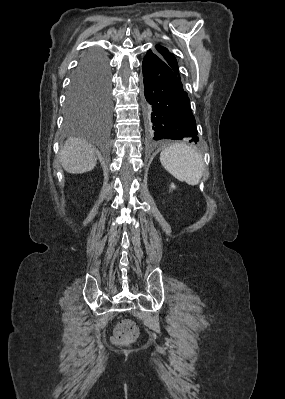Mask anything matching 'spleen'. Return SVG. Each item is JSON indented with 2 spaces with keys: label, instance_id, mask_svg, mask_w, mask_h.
<instances>
[{
  "label": "spleen",
  "instance_id": "1",
  "mask_svg": "<svg viewBox=\"0 0 285 399\" xmlns=\"http://www.w3.org/2000/svg\"><path fill=\"white\" fill-rule=\"evenodd\" d=\"M163 167L179 181L197 185L203 175L202 155L193 147L177 143L165 148L160 154Z\"/></svg>",
  "mask_w": 285,
  "mask_h": 399
}]
</instances>
